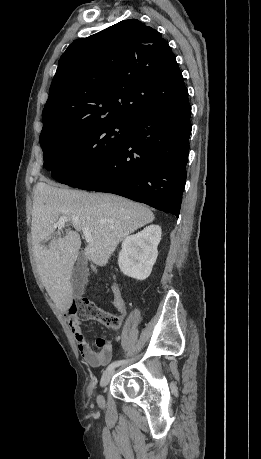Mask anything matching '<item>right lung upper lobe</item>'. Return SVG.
<instances>
[{
    "label": "right lung upper lobe",
    "mask_w": 261,
    "mask_h": 459,
    "mask_svg": "<svg viewBox=\"0 0 261 459\" xmlns=\"http://www.w3.org/2000/svg\"><path fill=\"white\" fill-rule=\"evenodd\" d=\"M185 88L160 33L135 19L121 21L75 40L63 53L42 113V133L109 120L133 122L171 103Z\"/></svg>",
    "instance_id": "obj_1"
}]
</instances>
